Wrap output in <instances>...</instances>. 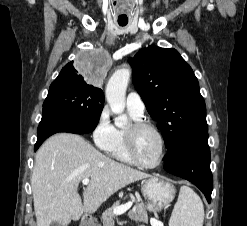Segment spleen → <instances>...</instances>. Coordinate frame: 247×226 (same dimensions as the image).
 Returning <instances> with one entry per match:
<instances>
[{"instance_id":"obj_1","label":"spleen","mask_w":247,"mask_h":226,"mask_svg":"<svg viewBox=\"0 0 247 226\" xmlns=\"http://www.w3.org/2000/svg\"><path fill=\"white\" fill-rule=\"evenodd\" d=\"M204 206L200 197L188 186L180 188L169 226H203Z\"/></svg>"}]
</instances>
